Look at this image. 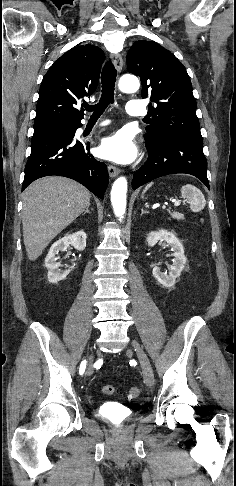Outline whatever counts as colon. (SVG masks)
I'll use <instances>...</instances> for the list:
<instances>
[{"label": "colon", "mask_w": 236, "mask_h": 486, "mask_svg": "<svg viewBox=\"0 0 236 486\" xmlns=\"http://www.w3.org/2000/svg\"><path fill=\"white\" fill-rule=\"evenodd\" d=\"M102 392L106 395H111L117 392V389L114 386L107 385L102 388ZM142 389L138 386L131 387L128 391V397L130 399H135L140 396Z\"/></svg>", "instance_id": "5ec220e1"}]
</instances>
